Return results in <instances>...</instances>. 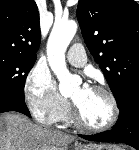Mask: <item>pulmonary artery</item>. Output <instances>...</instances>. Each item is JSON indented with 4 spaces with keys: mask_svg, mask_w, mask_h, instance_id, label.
Segmentation results:
<instances>
[{
    "mask_svg": "<svg viewBox=\"0 0 139 150\" xmlns=\"http://www.w3.org/2000/svg\"><path fill=\"white\" fill-rule=\"evenodd\" d=\"M67 60L74 66L81 67L86 63V54L81 44H74L67 52Z\"/></svg>",
    "mask_w": 139,
    "mask_h": 150,
    "instance_id": "pulmonary-artery-1",
    "label": "pulmonary artery"
}]
</instances>
